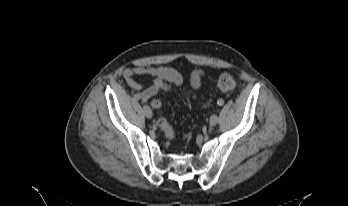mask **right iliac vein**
I'll return each instance as SVG.
<instances>
[{
  "label": "right iliac vein",
  "instance_id": "right-iliac-vein-1",
  "mask_svg": "<svg viewBox=\"0 0 348 206\" xmlns=\"http://www.w3.org/2000/svg\"><path fill=\"white\" fill-rule=\"evenodd\" d=\"M143 112H144V115L148 118V119H151L152 116H153V113H152V110L150 109L149 106L145 105L143 107Z\"/></svg>",
  "mask_w": 348,
  "mask_h": 206
}]
</instances>
